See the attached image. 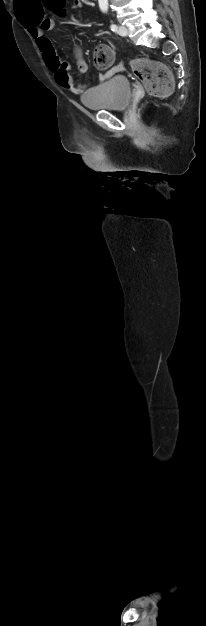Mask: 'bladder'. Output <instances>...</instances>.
<instances>
[{
  "label": "bladder",
  "mask_w": 206,
  "mask_h": 626,
  "mask_svg": "<svg viewBox=\"0 0 206 626\" xmlns=\"http://www.w3.org/2000/svg\"><path fill=\"white\" fill-rule=\"evenodd\" d=\"M131 98L130 81L124 76L116 75L85 92L81 96V103L94 111H115L127 108Z\"/></svg>",
  "instance_id": "31cf9c89"
}]
</instances>
